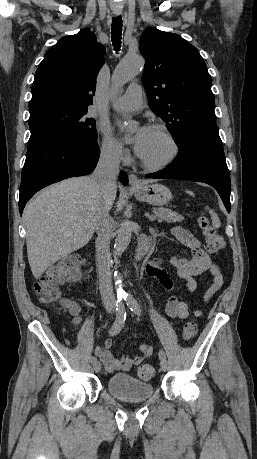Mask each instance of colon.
I'll use <instances>...</instances> for the list:
<instances>
[{
  "label": "colon",
  "mask_w": 257,
  "mask_h": 459,
  "mask_svg": "<svg viewBox=\"0 0 257 459\" xmlns=\"http://www.w3.org/2000/svg\"><path fill=\"white\" fill-rule=\"evenodd\" d=\"M199 227L204 235L205 248L211 254H217L224 246L222 237L211 225L209 219L201 216L198 220ZM82 260L80 258H68L58 265L50 268L33 285L35 293L44 304L63 302L59 291V285L65 278H78L81 275ZM197 324L188 320L182 330L183 338L190 340L197 335ZM138 376L143 380L151 379L155 369L151 365H142L137 370Z\"/></svg>",
  "instance_id": "1"
}]
</instances>
